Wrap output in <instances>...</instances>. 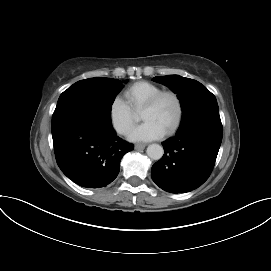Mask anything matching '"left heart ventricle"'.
<instances>
[{
    "label": "left heart ventricle",
    "instance_id": "b2bd125f",
    "mask_svg": "<svg viewBox=\"0 0 271 271\" xmlns=\"http://www.w3.org/2000/svg\"><path fill=\"white\" fill-rule=\"evenodd\" d=\"M176 113L177 109L174 99L170 96H164L153 108L142 110L141 119L154 121L166 132L173 124Z\"/></svg>",
    "mask_w": 271,
    "mask_h": 271
}]
</instances>
